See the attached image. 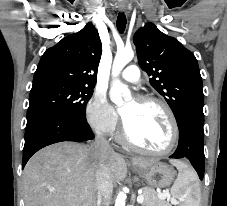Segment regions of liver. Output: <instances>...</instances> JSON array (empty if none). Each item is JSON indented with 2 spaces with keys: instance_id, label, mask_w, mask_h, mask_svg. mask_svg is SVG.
I'll list each match as a JSON object with an SVG mask.
<instances>
[{
  "instance_id": "obj_1",
  "label": "liver",
  "mask_w": 227,
  "mask_h": 206,
  "mask_svg": "<svg viewBox=\"0 0 227 206\" xmlns=\"http://www.w3.org/2000/svg\"><path fill=\"white\" fill-rule=\"evenodd\" d=\"M145 169L155 160L134 159ZM108 169L113 183L125 178V158L115 152L102 157L93 145L61 142L38 151L23 171L25 206H94L97 197L96 171Z\"/></svg>"
}]
</instances>
